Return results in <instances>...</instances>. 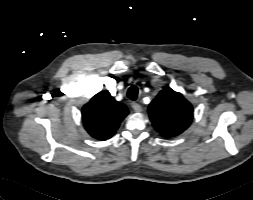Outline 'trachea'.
Returning <instances> with one entry per match:
<instances>
[{"instance_id": "obj_1", "label": "trachea", "mask_w": 253, "mask_h": 200, "mask_svg": "<svg viewBox=\"0 0 253 200\" xmlns=\"http://www.w3.org/2000/svg\"><path fill=\"white\" fill-rule=\"evenodd\" d=\"M138 96V88L135 85H132L127 91V97L131 100H136Z\"/></svg>"}]
</instances>
